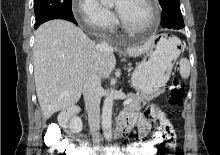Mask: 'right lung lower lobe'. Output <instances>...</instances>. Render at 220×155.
<instances>
[{
	"instance_id": "1",
	"label": "right lung lower lobe",
	"mask_w": 220,
	"mask_h": 155,
	"mask_svg": "<svg viewBox=\"0 0 220 155\" xmlns=\"http://www.w3.org/2000/svg\"><path fill=\"white\" fill-rule=\"evenodd\" d=\"M52 19H65V20H68V21H71L75 24H77V22L75 21L74 19V16H69V15H66V14H53V15H50L40 21H37L34 25L35 28H38L42 23L46 22V21H49V20H52Z\"/></svg>"
}]
</instances>
